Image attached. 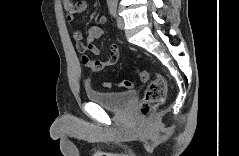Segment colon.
<instances>
[{
    "instance_id": "colon-1",
    "label": "colon",
    "mask_w": 239,
    "mask_h": 156,
    "mask_svg": "<svg viewBox=\"0 0 239 156\" xmlns=\"http://www.w3.org/2000/svg\"><path fill=\"white\" fill-rule=\"evenodd\" d=\"M139 80L143 83L148 82L152 75L147 70H139ZM107 88L120 87V88H132L133 83L129 80H124L118 83H104ZM166 80L161 75H155L150 81L143 99L140 102V112L142 116L150 115L153 110L161 105L166 98Z\"/></svg>"
}]
</instances>
